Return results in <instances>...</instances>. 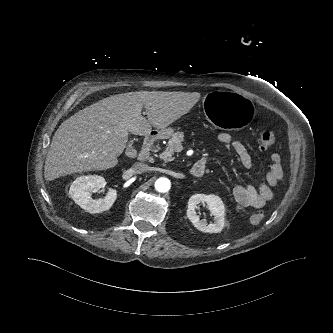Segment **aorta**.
Wrapping results in <instances>:
<instances>
[{
    "label": "aorta",
    "mask_w": 333,
    "mask_h": 333,
    "mask_svg": "<svg viewBox=\"0 0 333 333\" xmlns=\"http://www.w3.org/2000/svg\"><path fill=\"white\" fill-rule=\"evenodd\" d=\"M171 182L168 178L161 177L155 182V189L160 193H165L170 190Z\"/></svg>",
    "instance_id": "762f6f07"
}]
</instances>
